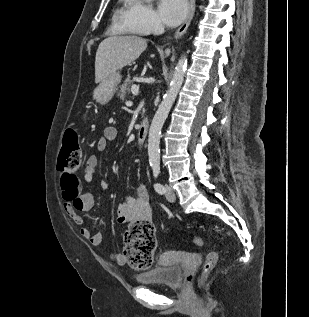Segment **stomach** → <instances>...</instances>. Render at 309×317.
Wrapping results in <instances>:
<instances>
[{
  "label": "stomach",
  "instance_id": "obj_1",
  "mask_svg": "<svg viewBox=\"0 0 309 317\" xmlns=\"http://www.w3.org/2000/svg\"><path fill=\"white\" fill-rule=\"evenodd\" d=\"M120 81L121 75L118 72L110 75L94 90V100L102 105L108 103L113 98Z\"/></svg>",
  "mask_w": 309,
  "mask_h": 317
}]
</instances>
